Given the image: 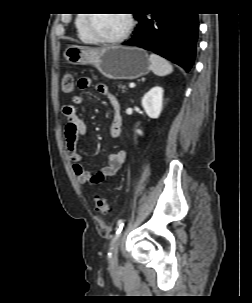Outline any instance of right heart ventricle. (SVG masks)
<instances>
[{
	"label": "right heart ventricle",
	"instance_id": "e07e8e85",
	"mask_svg": "<svg viewBox=\"0 0 252 303\" xmlns=\"http://www.w3.org/2000/svg\"><path fill=\"white\" fill-rule=\"evenodd\" d=\"M79 35L83 38H89V33L86 29V17L80 16L76 19L75 22Z\"/></svg>",
	"mask_w": 252,
	"mask_h": 303
}]
</instances>
